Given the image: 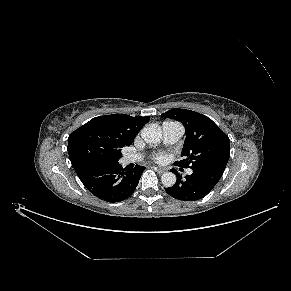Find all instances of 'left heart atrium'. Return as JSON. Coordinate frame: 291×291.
<instances>
[{
  "label": "left heart atrium",
  "instance_id": "left-heart-atrium-1",
  "mask_svg": "<svg viewBox=\"0 0 291 291\" xmlns=\"http://www.w3.org/2000/svg\"><path fill=\"white\" fill-rule=\"evenodd\" d=\"M154 159L158 162H163L166 159V157L164 154H156L154 156Z\"/></svg>",
  "mask_w": 291,
  "mask_h": 291
}]
</instances>
